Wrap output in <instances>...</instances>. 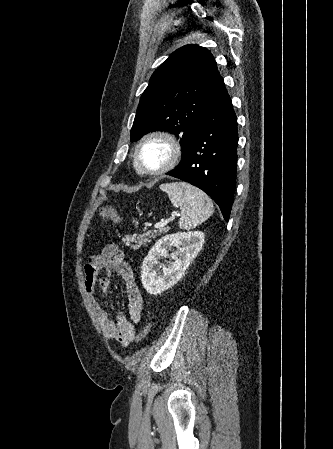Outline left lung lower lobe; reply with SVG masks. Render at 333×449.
Masks as SVG:
<instances>
[{"label": "left lung lower lobe", "instance_id": "0a47b994", "mask_svg": "<svg viewBox=\"0 0 333 449\" xmlns=\"http://www.w3.org/2000/svg\"><path fill=\"white\" fill-rule=\"evenodd\" d=\"M237 145V117L224 88L194 133L183 163L166 173L206 192L226 221L234 200Z\"/></svg>", "mask_w": 333, "mask_h": 449}]
</instances>
